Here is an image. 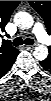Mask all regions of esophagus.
<instances>
[{
  "label": "esophagus",
  "mask_w": 51,
  "mask_h": 101,
  "mask_svg": "<svg viewBox=\"0 0 51 101\" xmlns=\"http://www.w3.org/2000/svg\"><path fill=\"white\" fill-rule=\"evenodd\" d=\"M34 46H35V45H30V46H28V48H34Z\"/></svg>",
  "instance_id": "esophagus-1"
}]
</instances>
